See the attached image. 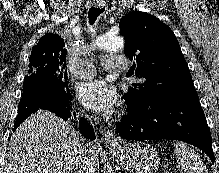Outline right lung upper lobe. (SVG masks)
Wrapping results in <instances>:
<instances>
[{"mask_svg": "<svg viewBox=\"0 0 219 173\" xmlns=\"http://www.w3.org/2000/svg\"><path fill=\"white\" fill-rule=\"evenodd\" d=\"M61 36L48 33L41 37L32 49L29 60L31 62H49L66 69V50Z\"/></svg>", "mask_w": 219, "mask_h": 173, "instance_id": "obj_1", "label": "right lung upper lobe"}]
</instances>
